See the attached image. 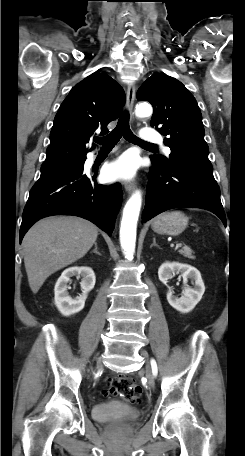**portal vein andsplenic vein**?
I'll return each mask as SVG.
<instances>
[{"mask_svg":"<svg viewBox=\"0 0 245 456\" xmlns=\"http://www.w3.org/2000/svg\"><path fill=\"white\" fill-rule=\"evenodd\" d=\"M181 246H182V244H181V243H177V244H175V247H176V248H180Z\"/></svg>","mask_w":245,"mask_h":456,"instance_id":"portal-vein-and-splenic-vein-1","label":"portal vein and splenic vein"}]
</instances>
